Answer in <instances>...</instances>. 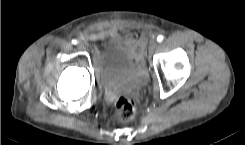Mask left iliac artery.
<instances>
[{"label": "left iliac artery", "instance_id": "44dca946", "mask_svg": "<svg viewBox=\"0 0 245 145\" xmlns=\"http://www.w3.org/2000/svg\"><path fill=\"white\" fill-rule=\"evenodd\" d=\"M163 40V36L162 35H159L158 37H157V41L158 42H161Z\"/></svg>", "mask_w": 245, "mask_h": 145}]
</instances>
